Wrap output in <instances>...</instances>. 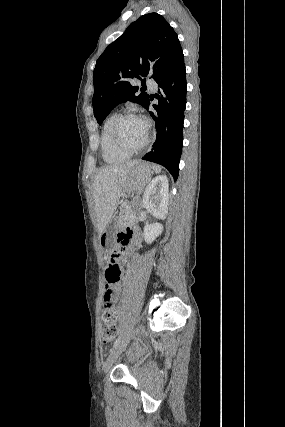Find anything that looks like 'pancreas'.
I'll list each match as a JSON object with an SVG mask.
<instances>
[{
	"label": "pancreas",
	"mask_w": 285,
	"mask_h": 427,
	"mask_svg": "<svg viewBox=\"0 0 285 427\" xmlns=\"http://www.w3.org/2000/svg\"><path fill=\"white\" fill-rule=\"evenodd\" d=\"M135 210L133 205H124L121 208L120 215L118 217V225H128L136 220Z\"/></svg>",
	"instance_id": "cf45deb5"
}]
</instances>
